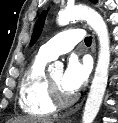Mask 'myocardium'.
<instances>
[{"label": "myocardium", "instance_id": "obj_1", "mask_svg": "<svg viewBox=\"0 0 118 123\" xmlns=\"http://www.w3.org/2000/svg\"><path fill=\"white\" fill-rule=\"evenodd\" d=\"M47 86L49 98L55 107L58 108L68 107L71 104H73L77 98L75 94H70L67 96L62 95L58 90V88L55 86V84L52 82L50 77H47Z\"/></svg>", "mask_w": 118, "mask_h": 123}]
</instances>
